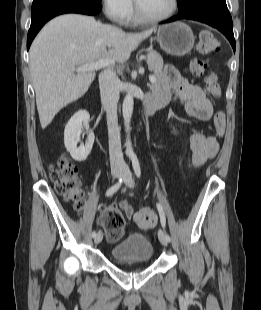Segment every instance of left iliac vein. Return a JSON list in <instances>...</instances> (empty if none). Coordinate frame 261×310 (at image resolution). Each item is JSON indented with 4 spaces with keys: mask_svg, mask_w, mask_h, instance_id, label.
<instances>
[{
    "mask_svg": "<svg viewBox=\"0 0 261 310\" xmlns=\"http://www.w3.org/2000/svg\"><path fill=\"white\" fill-rule=\"evenodd\" d=\"M123 175H124V182L125 184L128 186V187H133L134 186V182H133V179H132V174L129 170L128 167H124L123 169ZM158 238H159V241L164 245V246H167L169 241H167L166 239V235L165 233L162 231V230H159L158 231Z\"/></svg>",
    "mask_w": 261,
    "mask_h": 310,
    "instance_id": "obj_1",
    "label": "left iliac vein"
}]
</instances>
